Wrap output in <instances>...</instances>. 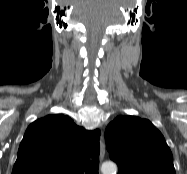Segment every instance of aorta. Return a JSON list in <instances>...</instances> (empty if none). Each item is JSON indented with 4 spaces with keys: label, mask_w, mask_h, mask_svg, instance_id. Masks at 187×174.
I'll use <instances>...</instances> for the list:
<instances>
[{
    "label": "aorta",
    "mask_w": 187,
    "mask_h": 174,
    "mask_svg": "<svg viewBox=\"0 0 187 174\" xmlns=\"http://www.w3.org/2000/svg\"><path fill=\"white\" fill-rule=\"evenodd\" d=\"M102 174H116L117 166L112 162H105L101 167Z\"/></svg>",
    "instance_id": "aorta-1"
}]
</instances>
